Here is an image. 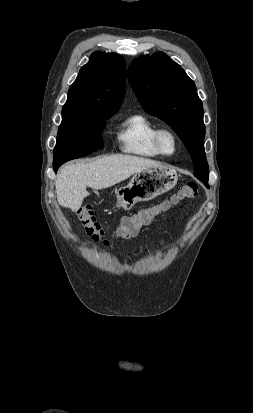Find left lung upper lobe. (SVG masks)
<instances>
[{
  "label": "left lung upper lobe",
  "instance_id": "left-lung-upper-lobe-1",
  "mask_svg": "<svg viewBox=\"0 0 253 413\" xmlns=\"http://www.w3.org/2000/svg\"><path fill=\"white\" fill-rule=\"evenodd\" d=\"M128 79L144 110L167 122L182 139L192 157L194 176L208 183L203 106L194 82L163 52L135 59Z\"/></svg>",
  "mask_w": 253,
  "mask_h": 413
}]
</instances>
